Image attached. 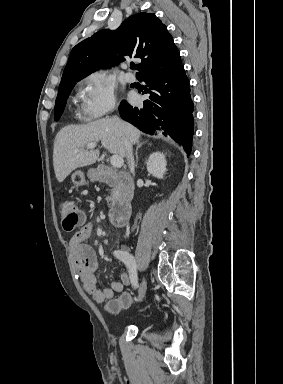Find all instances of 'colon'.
<instances>
[{
    "instance_id": "1",
    "label": "colon",
    "mask_w": 283,
    "mask_h": 384,
    "mask_svg": "<svg viewBox=\"0 0 283 384\" xmlns=\"http://www.w3.org/2000/svg\"><path fill=\"white\" fill-rule=\"evenodd\" d=\"M61 216V224L65 231H73L83 223V215L73 199H64L59 205ZM134 302L132 293H122L117 299L109 301L105 305L108 313H117L123 309H127Z\"/></svg>"
}]
</instances>
